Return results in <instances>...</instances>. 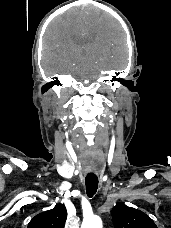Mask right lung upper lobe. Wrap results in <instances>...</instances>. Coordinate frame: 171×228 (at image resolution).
<instances>
[{
  "instance_id": "right-lung-upper-lobe-1",
  "label": "right lung upper lobe",
  "mask_w": 171,
  "mask_h": 228,
  "mask_svg": "<svg viewBox=\"0 0 171 228\" xmlns=\"http://www.w3.org/2000/svg\"><path fill=\"white\" fill-rule=\"evenodd\" d=\"M66 217L65 206L58 204L53 209L33 217L27 228H64Z\"/></svg>"
}]
</instances>
